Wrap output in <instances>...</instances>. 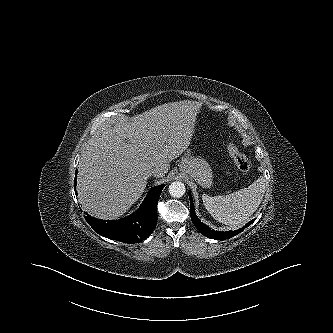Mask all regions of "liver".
<instances>
[{
	"mask_svg": "<svg viewBox=\"0 0 333 333\" xmlns=\"http://www.w3.org/2000/svg\"><path fill=\"white\" fill-rule=\"evenodd\" d=\"M200 106L172 102L103 126L79 162L77 191L85 211L104 220L126 213L143 194L149 170L158 168L155 177H164L187 150Z\"/></svg>",
	"mask_w": 333,
	"mask_h": 333,
	"instance_id": "liver-1",
	"label": "liver"
}]
</instances>
